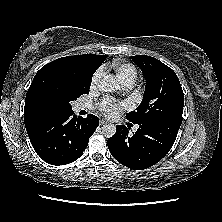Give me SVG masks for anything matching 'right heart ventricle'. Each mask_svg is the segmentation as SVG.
Masks as SVG:
<instances>
[{"mask_svg":"<svg viewBox=\"0 0 222 222\" xmlns=\"http://www.w3.org/2000/svg\"><path fill=\"white\" fill-rule=\"evenodd\" d=\"M112 68L114 69L116 78L122 85L127 83L133 84L137 79V69L131 63L114 62Z\"/></svg>","mask_w":222,"mask_h":222,"instance_id":"right-heart-ventricle-1","label":"right heart ventricle"}]
</instances>
